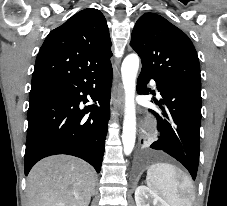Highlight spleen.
Segmentation results:
<instances>
[{"label":"spleen","instance_id":"spleen-1","mask_svg":"<svg viewBox=\"0 0 227 206\" xmlns=\"http://www.w3.org/2000/svg\"><path fill=\"white\" fill-rule=\"evenodd\" d=\"M147 185L161 195L169 206H192L194 197L190 179L175 166L166 163L151 165L147 170Z\"/></svg>","mask_w":227,"mask_h":206}]
</instances>
